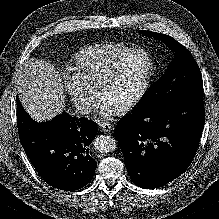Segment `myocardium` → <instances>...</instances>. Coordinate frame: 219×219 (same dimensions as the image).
Instances as JSON below:
<instances>
[{"mask_svg":"<svg viewBox=\"0 0 219 219\" xmlns=\"http://www.w3.org/2000/svg\"><path fill=\"white\" fill-rule=\"evenodd\" d=\"M136 54H144L148 58L149 68H148V71L143 79V82L141 83V85H140L137 93L134 95V97L130 101H128L127 103L115 108V110L118 113H127V112L133 110L142 101V99L146 95V93L150 87L154 72H155V60H154V57L152 56V54L148 50L143 49V48H134V49L130 50L129 52L123 54L118 59H116L108 67V69L103 73V75L100 77V79L97 83V87H96L97 92L101 96V91L109 83L111 78L116 74V72L118 71V69L120 68L122 63L124 61H126L127 59H129L130 57H133Z\"/></svg>","mask_w":219,"mask_h":219,"instance_id":"myocardium-1","label":"myocardium"}]
</instances>
